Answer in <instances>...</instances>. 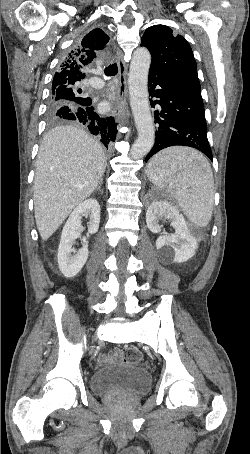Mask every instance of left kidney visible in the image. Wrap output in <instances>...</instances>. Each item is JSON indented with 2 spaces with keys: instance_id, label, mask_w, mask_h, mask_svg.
Listing matches in <instances>:
<instances>
[{
  "instance_id": "1",
  "label": "left kidney",
  "mask_w": 250,
  "mask_h": 454,
  "mask_svg": "<svg viewBox=\"0 0 250 454\" xmlns=\"http://www.w3.org/2000/svg\"><path fill=\"white\" fill-rule=\"evenodd\" d=\"M171 222L175 233L159 236L156 241L157 250L165 257L173 258L174 262H186L195 255L198 243L190 231L179 209L165 200H156L150 204L146 212L148 229L153 233L161 231L160 222Z\"/></svg>"
}]
</instances>
